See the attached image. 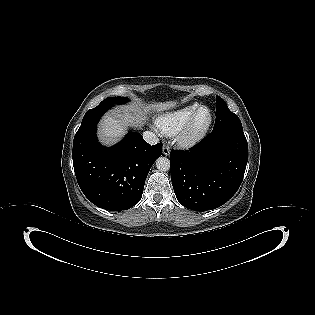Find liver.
Masks as SVG:
<instances>
[{"mask_svg":"<svg viewBox=\"0 0 315 315\" xmlns=\"http://www.w3.org/2000/svg\"><path fill=\"white\" fill-rule=\"evenodd\" d=\"M175 105L176 102L169 101L122 108L120 111L107 114L101 121L99 137L105 144L115 143L126 133L127 125L141 126L145 120V115L152 109L163 111L173 108Z\"/></svg>","mask_w":315,"mask_h":315,"instance_id":"liver-1","label":"liver"}]
</instances>
